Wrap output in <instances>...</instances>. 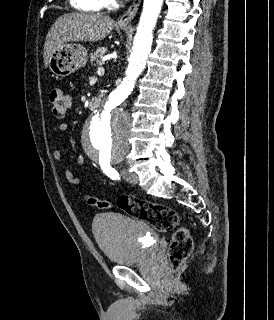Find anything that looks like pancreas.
Here are the masks:
<instances>
[{
    "instance_id": "1",
    "label": "pancreas",
    "mask_w": 274,
    "mask_h": 320,
    "mask_svg": "<svg viewBox=\"0 0 274 320\" xmlns=\"http://www.w3.org/2000/svg\"><path fill=\"white\" fill-rule=\"evenodd\" d=\"M106 52H107V48H97L96 52H92V54H90L91 64H94L95 62V66H98V68H101L103 64L102 58H104Z\"/></svg>"
}]
</instances>
